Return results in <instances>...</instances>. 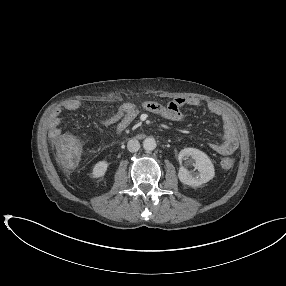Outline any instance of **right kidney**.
Listing matches in <instances>:
<instances>
[{
	"label": "right kidney",
	"mask_w": 286,
	"mask_h": 286,
	"mask_svg": "<svg viewBox=\"0 0 286 286\" xmlns=\"http://www.w3.org/2000/svg\"><path fill=\"white\" fill-rule=\"evenodd\" d=\"M108 163L106 161H99L93 167L92 175L93 178L97 179L103 177L107 171Z\"/></svg>",
	"instance_id": "right-kidney-1"
}]
</instances>
